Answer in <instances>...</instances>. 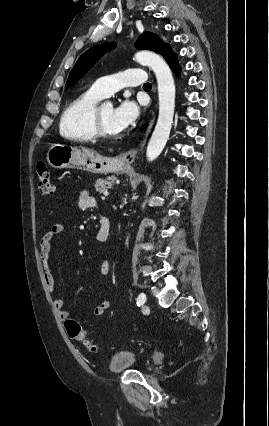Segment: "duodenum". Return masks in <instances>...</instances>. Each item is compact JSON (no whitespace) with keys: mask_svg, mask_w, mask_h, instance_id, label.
<instances>
[{"mask_svg":"<svg viewBox=\"0 0 269 426\" xmlns=\"http://www.w3.org/2000/svg\"><path fill=\"white\" fill-rule=\"evenodd\" d=\"M111 232H112L111 220L105 215H102L101 221H100V229L97 234V240L100 242L107 241L111 235Z\"/></svg>","mask_w":269,"mask_h":426,"instance_id":"obj_1","label":"duodenum"}]
</instances>
